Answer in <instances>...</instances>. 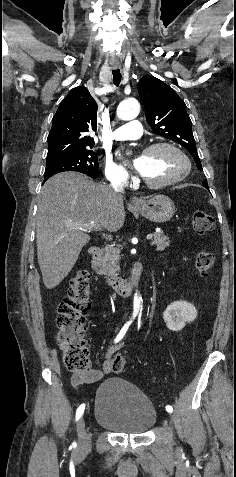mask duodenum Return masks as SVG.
<instances>
[{
  "mask_svg": "<svg viewBox=\"0 0 236 477\" xmlns=\"http://www.w3.org/2000/svg\"><path fill=\"white\" fill-rule=\"evenodd\" d=\"M90 256V267L91 270L98 274L100 270L101 263V249L99 247H92L89 250ZM141 275V265L139 263L135 264L131 275L129 278L124 279L119 276L109 277L105 280L106 285L111 288L113 291L122 296H128L132 293L134 287L136 286L137 281Z\"/></svg>",
  "mask_w": 236,
  "mask_h": 477,
  "instance_id": "410a0bca",
  "label": "duodenum"
}]
</instances>
